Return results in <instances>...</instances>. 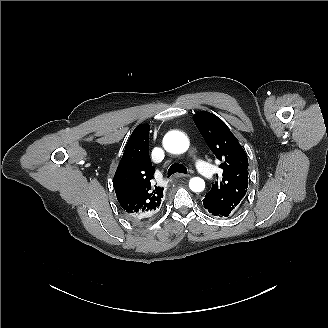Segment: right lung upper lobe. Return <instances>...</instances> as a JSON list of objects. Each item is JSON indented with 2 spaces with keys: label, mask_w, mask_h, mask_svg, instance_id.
<instances>
[{
  "label": "right lung upper lobe",
  "mask_w": 328,
  "mask_h": 328,
  "mask_svg": "<svg viewBox=\"0 0 328 328\" xmlns=\"http://www.w3.org/2000/svg\"><path fill=\"white\" fill-rule=\"evenodd\" d=\"M148 124L132 132L113 179L118 202L124 212L139 222L157 217L163 206V190L154 184V172L149 157Z\"/></svg>",
  "instance_id": "1"
}]
</instances>
